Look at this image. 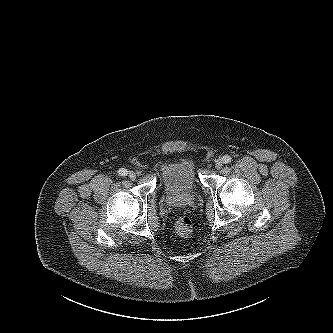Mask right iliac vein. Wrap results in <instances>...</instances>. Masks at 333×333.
Listing matches in <instances>:
<instances>
[{"label":"right iliac vein","mask_w":333,"mask_h":333,"mask_svg":"<svg viewBox=\"0 0 333 333\" xmlns=\"http://www.w3.org/2000/svg\"><path fill=\"white\" fill-rule=\"evenodd\" d=\"M128 177L131 179V180H135L136 179V173L134 171H129L128 172Z\"/></svg>","instance_id":"63e3f726"}]
</instances>
